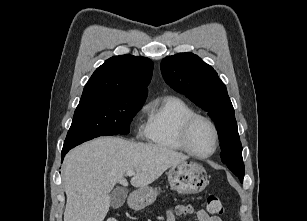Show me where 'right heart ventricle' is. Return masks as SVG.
Instances as JSON below:
<instances>
[{"mask_svg": "<svg viewBox=\"0 0 307 221\" xmlns=\"http://www.w3.org/2000/svg\"><path fill=\"white\" fill-rule=\"evenodd\" d=\"M147 111L146 138L158 147L182 151L179 130L183 121L195 114L192 107L178 97L164 96L150 102Z\"/></svg>", "mask_w": 307, "mask_h": 221, "instance_id": "right-heart-ventricle-1", "label": "right heart ventricle"}]
</instances>
